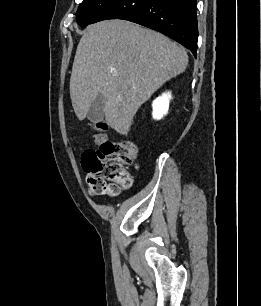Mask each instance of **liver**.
<instances>
[{
  "instance_id": "1",
  "label": "liver",
  "mask_w": 261,
  "mask_h": 306,
  "mask_svg": "<svg viewBox=\"0 0 261 306\" xmlns=\"http://www.w3.org/2000/svg\"><path fill=\"white\" fill-rule=\"evenodd\" d=\"M187 65L185 49L161 33L120 19L90 25L78 44L70 77L74 112L84 120L102 94L106 123L127 135L140 106Z\"/></svg>"
}]
</instances>
